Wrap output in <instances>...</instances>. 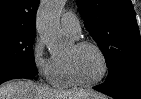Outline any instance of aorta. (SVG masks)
<instances>
[{"mask_svg": "<svg viewBox=\"0 0 141 99\" xmlns=\"http://www.w3.org/2000/svg\"><path fill=\"white\" fill-rule=\"evenodd\" d=\"M64 0H44L37 13L36 28L51 54L67 51L69 40L62 35L59 18Z\"/></svg>", "mask_w": 141, "mask_h": 99, "instance_id": "aorta-1", "label": "aorta"}]
</instances>
